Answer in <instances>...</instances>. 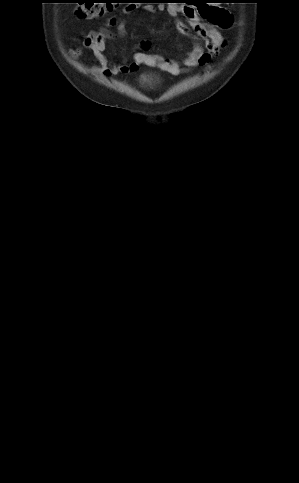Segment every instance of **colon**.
Masks as SVG:
<instances>
[{"label": "colon", "mask_w": 299, "mask_h": 483, "mask_svg": "<svg viewBox=\"0 0 299 483\" xmlns=\"http://www.w3.org/2000/svg\"><path fill=\"white\" fill-rule=\"evenodd\" d=\"M78 7L75 9V15L83 19H97L110 12L114 2L113 0H81ZM208 2L199 5L203 14L204 7Z\"/></svg>", "instance_id": "1"}]
</instances>
